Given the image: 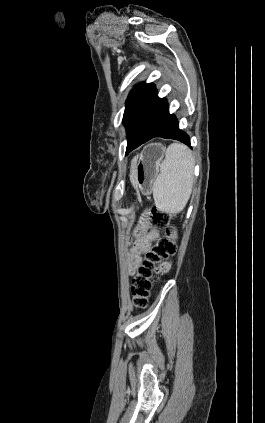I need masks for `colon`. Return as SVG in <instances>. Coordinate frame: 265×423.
Instances as JSON below:
<instances>
[{"label":"colon","instance_id":"colon-1","mask_svg":"<svg viewBox=\"0 0 265 423\" xmlns=\"http://www.w3.org/2000/svg\"><path fill=\"white\" fill-rule=\"evenodd\" d=\"M168 213L152 208L143 214L142 222L135 231L136 238L142 236L149 227L164 228L165 236L151 244L139 263L131 282V293L134 305L145 308L152 289V278L156 267L162 261L173 256L177 251L176 231L169 225Z\"/></svg>","mask_w":265,"mask_h":423}]
</instances>
